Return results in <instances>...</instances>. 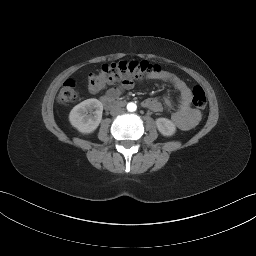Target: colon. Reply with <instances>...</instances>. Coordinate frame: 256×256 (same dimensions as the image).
Masks as SVG:
<instances>
[{"instance_id":"obj_1","label":"colon","mask_w":256,"mask_h":256,"mask_svg":"<svg viewBox=\"0 0 256 256\" xmlns=\"http://www.w3.org/2000/svg\"><path fill=\"white\" fill-rule=\"evenodd\" d=\"M161 73L160 66L148 61H115L104 64L96 73L88 78L89 89L99 91L105 84L123 79L155 78ZM77 83L73 78L67 79L60 90L58 99L62 103L73 102L77 99ZM192 104L197 109L207 105L205 91L201 86L192 89Z\"/></svg>"}]
</instances>
